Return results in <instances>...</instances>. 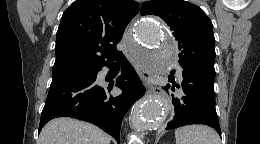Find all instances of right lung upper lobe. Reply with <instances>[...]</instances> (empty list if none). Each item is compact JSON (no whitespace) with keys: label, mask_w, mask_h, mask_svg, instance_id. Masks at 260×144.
Here are the masks:
<instances>
[{"label":"right lung upper lobe","mask_w":260,"mask_h":144,"mask_svg":"<svg viewBox=\"0 0 260 144\" xmlns=\"http://www.w3.org/2000/svg\"><path fill=\"white\" fill-rule=\"evenodd\" d=\"M139 7L133 0H76L62 15L53 71L110 63Z\"/></svg>","instance_id":"right-lung-upper-lobe-1"}]
</instances>
